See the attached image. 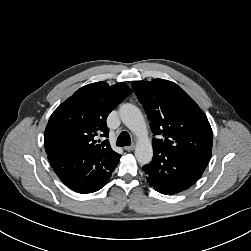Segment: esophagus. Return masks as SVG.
<instances>
[{
    "mask_svg": "<svg viewBox=\"0 0 251 251\" xmlns=\"http://www.w3.org/2000/svg\"><path fill=\"white\" fill-rule=\"evenodd\" d=\"M124 149L126 151H132L134 149V145L126 146Z\"/></svg>",
    "mask_w": 251,
    "mask_h": 251,
    "instance_id": "34e87169",
    "label": "esophagus"
}]
</instances>
